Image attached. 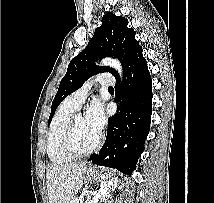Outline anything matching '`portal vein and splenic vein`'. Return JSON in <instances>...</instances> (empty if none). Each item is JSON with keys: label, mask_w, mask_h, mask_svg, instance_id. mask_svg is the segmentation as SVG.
<instances>
[{"label": "portal vein and splenic vein", "mask_w": 214, "mask_h": 203, "mask_svg": "<svg viewBox=\"0 0 214 203\" xmlns=\"http://www.w3.org/2000/svg\"><path fill=\"white\" fill-rule=\"evenodd\" d=\"M107 190H108V187H102V188L94 195V197H93L92 200H90V197H88V198H87V201H89V203H97L98 200H99L100 198H102V197L105 195V193L107 192Z\"/></svg>", "instance_id": "portal-vein-and-splenic-vein-1"}]
</instances>
